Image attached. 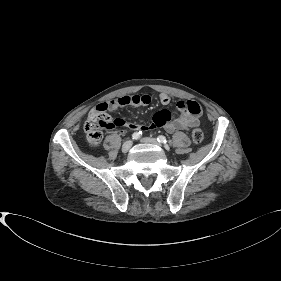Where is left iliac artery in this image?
<instances>
[{
  "mask_svg": "<svg viewBox=\"0 0 281 281\" xmlns=\"http://www.w3.org/2000/svg\"><path fill=\"white\" fill-rule=\"evenodd\" d=\"M157 140H158V142H160V143H164V144L167 143V139H166V137L163 136V135L158 136Z\"/></svg>",
  "mask_w": 281,
  "mask_h": 281,
  "instance_id": "obj_1",
  "label": "left iliac artery"
}]
</instances>
